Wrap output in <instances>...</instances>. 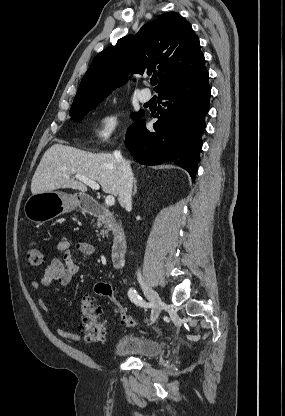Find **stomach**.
<instances>
[{"instance_id": "0dacf381", "label": "stomach", "mask_w": 285, "mask_h": 416, "mask_svg": "<svg viewBox=\"0 0 285 416\" xmlns=\"http://www.w3.org/2000/svg\"><path fill=\"white\" fill-rule=\"evenodd\" d=\"M81 204L82 196L79 194H64V192L51 190V192L30 196L24 206V214L30 222L44 224L62 214L73 212Z\"/></svg>"}]
</instances>
